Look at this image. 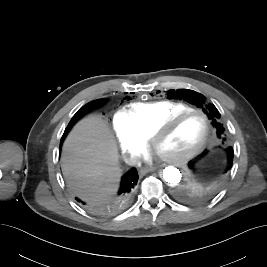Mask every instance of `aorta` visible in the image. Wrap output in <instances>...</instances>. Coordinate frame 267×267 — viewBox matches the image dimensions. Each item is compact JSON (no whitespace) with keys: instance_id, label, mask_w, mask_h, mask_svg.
Here are the masks:
<instances>
[{"instance_id":"aorta-1","label":"aorta","mask_w":267,"mask_h":267,"mask_svg":"<svg viewBox=\"0 0 267 267\" xmlns=\"http://www.w3.org/2000/svg\"><path fill=\"white\" fill-rule=\"evenodd\" d=\"M161 177L169 185L176 186L181 182L182 172L174 166H168L161 172Z\"/></svg>"}]
</instances>
